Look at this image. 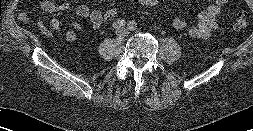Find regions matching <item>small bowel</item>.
Here are the masks:
<instances>
[{"label":"small bowel","mask_w":253,"mask_h":131,"mask_svg":"<svg viewBox=\"0 0 253 131\" xmlns=\"http://www.w3.org/2000/svg\"><path fill=\"white\" fill-rule=\"evenodd\" d=\"M227 3L228 0H213L212 4L199 13L197 22L194 25L189 26L187 21L180 17H175L172 24L178 30L187 29L189 35L193 38H207L217 28V17ZM69 6V3L66 1L54 3L50 0H43L40 3L41 9L47 13L65 11ZM76 14L81 18H88L91 28L94 30L100 29L104 22L103 11L98 9L91 10L87 5L77 6ZM18 18L23 23L29 21L28 15L25 12L19 13ZM39 26L46 36H51L53 32L60 33L68 42L74 41L77 37V32L81 30V25L77 22L73 23L71 28H63L60 21L56 18L52 19L48 25L40 21Z\"/></svg>","instance_id":"1"}]
</instances>
